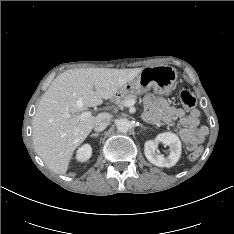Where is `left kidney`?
Masks as SVG:
<instances>
[{"label":"left kidney","mask_w":234,"mask_h":234,"mask_svg":"<svg viewBox=\"0 0 234 234\" xmlns=\"http://www.w3.org/2000/svg\"><path fill=\"white\" fill-rule=\"evenodd\" d=\"M162 142L170 147V153L164 157L162 154H157V144ZM181 141L174 133L164 132L157 135L155 140H148L144 145V153L147 160L158 167H172L181 156Z\"/></svg>","instance_id":"obj_1"}]
</instances>
